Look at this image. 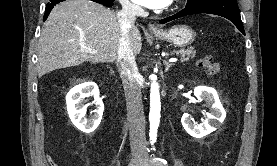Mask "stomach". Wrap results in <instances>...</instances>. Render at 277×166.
Returning a JSON list of instances; mask_svg holds the SVG:
<instances>
[{
	"label": "stomach",
	"instance_id": "0dacf381",
	"mask_svg": "<svg viewBox=\"0 0 277 166\" xmlns=\"http://www.w3.org/2000/svg\"><path fill=\"white\" fill-rule=\"evenodd\" d=\"M158 39L168 41L174 46L184 47L191 44L195 39V32L186 25H176L168 30H161L154 33Z\"/></svg>",
	"mask_w": 277,
	"mask_h": 166
}]
</instances>
